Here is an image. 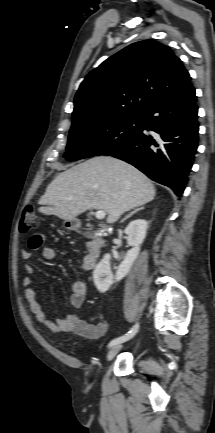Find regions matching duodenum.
I'll use <instances>...</instances> for the list:
<instances>
[{"label":"duodenum","instance_id":"410a0bca","mask_svg":"<svg viewBox=\"0 0 215 433\" xmlns=\"http://www.w3.org/2000/svg\"><path fill=\"white\" fill-rule=\"evenodd\" d=\"M69 226L74 230H79L81 228V224L75 219L69 221ZM90 235L92 238L87 244L88 254L96 262L100 257L103 247V237L97 233H92Z\"/></svg>","mask_w":215,"mask_h":433}]
</instances>
